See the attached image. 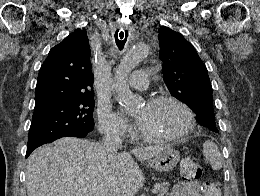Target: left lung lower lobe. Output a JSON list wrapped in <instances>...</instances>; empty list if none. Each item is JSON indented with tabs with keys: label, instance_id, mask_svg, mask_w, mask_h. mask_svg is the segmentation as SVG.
Masks as SVG:
<instances>
[{
	"label": "left lung lower lobe",
	"instance_id": "left-lung-lower-lobe-1",
	"mask_svg": "<svg viewBox=\"0 0 260 196\" xmlns=\"http://www.w3.org/2000/svg\"><path fill=\"white\" fill-rule=\"evenodd\" d=\"M195 113L197 115V121L203 126H207L215 122L214 111L200 109L197 110Z\"/></svg>",
	"mask_w": 260,
	"mask_h": 196
}]
</instances>
